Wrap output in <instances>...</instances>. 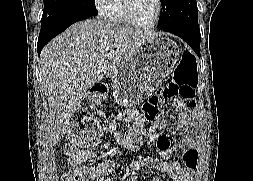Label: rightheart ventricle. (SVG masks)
I'll use <instances>...</instances> for the list:
<instances>
[{
  "instance_id": "obj_1",
  "label": "right heart ventricle",
  "mask_w": 253,
  "mask_h": 181,
  "mask_svg": "<svg viewBox=\"0 0 253 181\" xmlns=\"http://www.w3.org/2000/svg\"><path fill=\"white\" fill-rule=\"evenodd\" d=\"M108 19L113 23L124 22L122 8H121V0H113L111 12Z\"/></svg>"
}]
</instances>
